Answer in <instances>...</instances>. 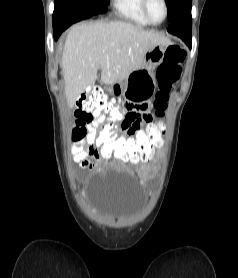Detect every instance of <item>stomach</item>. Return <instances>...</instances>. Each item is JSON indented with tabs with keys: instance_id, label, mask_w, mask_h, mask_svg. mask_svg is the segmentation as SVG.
<instances>
[{
	"instance_id": "0dacf381",
	"label": "stomach",
	"mask_w": 238,
	"mask_h": 278,
	"mask_svg": "<svg viewBox=\"0 0 238 278\" xmlns=\"http://www.w3.org/2000/svg\"><path fill=\"white\" fill-rule=\"evenodd\" d=\"M165 50L166 48L162 45L149 48L145 55L144 65L133 71L127 78L123 75L121 81L113 84V95H117V99L149 102L156 89L153 69L162 63Z\"/></svg>"
}]
</instances>
